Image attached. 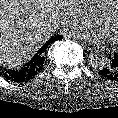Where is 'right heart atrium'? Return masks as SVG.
Here are the masks:
<instances>
[{
	"label": "right heart atrium",
	"mask_w": 118,
	"mask_h": 118,
	"mask_svg": "<svg viewBox=\"0 0 118 118\" xmlns=\"http://www.w3.org/2000/svg\"><path fill=\"white\" fill-rule=\"evenodd\" d=\"M92 21L93 15L89 12L84 0H68L63 12V22L69 30H76Z\"/></svg>",
	"instance_id": "1"
}]
</instances>
